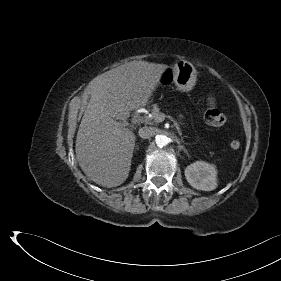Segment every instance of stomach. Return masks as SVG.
I'll return each mask as SVG.
<instances>
[{"label": "stomach", "mask_w": 281, "mask_h": 281, "mask_svg": "<svg viewBox=\"0 0 281 281\" xmlns=\"http://www.w3.org/2000/svg\"><path fill=\"white\" fill-rule=\"evenodd\" d=\"M196 69L187 61H180L174 67H168L162 75V81L167 79L175 83L178 90L190 91L196 83Z\"/></svg>", "instance_id": "1"}]
</instances>
